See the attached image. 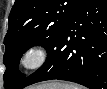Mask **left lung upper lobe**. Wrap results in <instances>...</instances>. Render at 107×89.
I'll use <instances>...</instances> for the list:
<instances>
[{"label": "left lung upper lobe", "instance_id": "obj_1", "mask_svg": "<svg viewBox=\"0 0 107 89\" xmlns=\"http://www.w3.org/2000/svg\"><path fill=\"white\" fill-rule=\"evenodd\" d=\"M83 0H15L4 38L5 89H15L25 75L18 71L22 54L33 45L47 48Z\"/></svg>", "mask_w": 107, "mask_h": 89}]
</instances>
